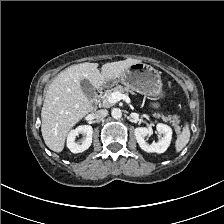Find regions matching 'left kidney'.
I'll return each instance as SVG.
<instances>
[{
    "mask_svg": "<svg viewBox=\"0 0 224 224\" xmlns=\"http://www.w3.org/2000/svg\"><path fill=\"white\" fill-rule=\"evenodd\" d=\"M156 130L160 135H162V137L158 142H153L152 144L147 143L145 140V137L150 134V130L148 128L138 127L135 129L134 134L139 146L144 151L164 153L170 145L172 129L168 125L159 123L156 125Z\"/></svg>",
    "mask_w": 224,
    "mask_h": 224,
    "instance_id": "5707ae66",
    "label": "left kidney"
}]
</instances>
